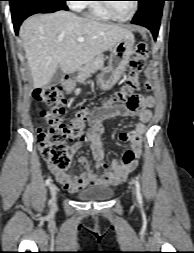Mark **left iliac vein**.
I'll return each mask as SVG.
<instances>
[{"label":"left iliac vein","instance_id":"obj_1","mask_svg":"<svg viewBox=\"0 0 194 253\" xmlns=\"http://www.w3.org/2000/svg\"><path fill=\"white\" fill-rule=\"evenodd\" d=\"M132 192H133V196L135 195V190H134V188H132Z\"/></svg>","mask_w":194,"mask_h":253}]
</instances>
